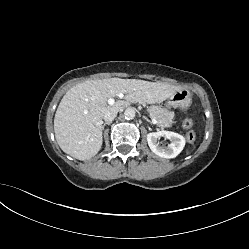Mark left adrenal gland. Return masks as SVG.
I'll use <instances>...</instances> for the list:
<instances>
[{"label": "left adrenal gland", "mask_w": 249, "mask_h": 249, "mask_svg": "<svg viewBox=\"0 0 249 249\" xmlns=\"http://www.w3.org/2000/svg\"><path fill=\"white\" fill-rule=\"evenodd\" d=\"M148 123L152 124L151 121L147 117H143Z\"/></svg>", "instance_id": "obj_1"}]
</instances>
